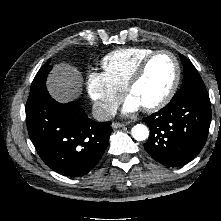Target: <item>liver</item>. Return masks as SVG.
Instances as JSON below:
<instances>
[{"mask_svg": "<svg viewBox=\"0 0 221 221\" xmlns=\"http://www.w3.org/2000/svg\"><path fill=\"white\" fill-rule=\"evenodd\" d=\"M82 75L67 63L56 65L47 79L50 95L60 103H67L81 92Z\"/></svg>", "mask_w": 221, "mask_h": 221, "instance_id": "1", "label": "liver"}]
</instances>
